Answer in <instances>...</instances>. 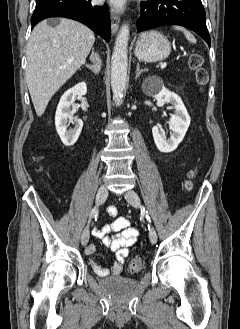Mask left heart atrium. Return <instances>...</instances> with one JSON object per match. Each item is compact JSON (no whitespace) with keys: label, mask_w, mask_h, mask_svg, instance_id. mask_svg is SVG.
Here are the masks:
<instances>
[{"label":"left heart atrium","mask_w":240,"mask_h":329,"mask_svg":"<svg viewBox=\"0 0 240 329\" xmlns=\"http://www.w3.org/2000/svg\"><path fill=\"white\" fill-rule=\"evenodd\" d=\"M110 5L115 9H120L124 3V0H109Z\"/></svg>","instance_id":"left-heart-atrium-1"}]
</instances>
